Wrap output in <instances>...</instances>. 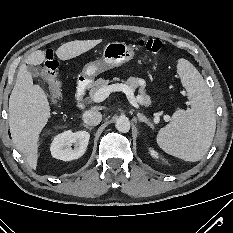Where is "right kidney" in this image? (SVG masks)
<instances>
[{"label": "right kidney", "mask_w": 233, "mask_h": 233, "mask_svg": "<svg viewBox=\"0 0 233 233\" xmlns=\"http://www.w3.org/2000/svg\"><path fill=\"white\" fill-rule=\"evenodd\" d=\"M89 139L90 134L86 131H65L54 137L50 147L51 155L63 161L78 159L85 153Z\"/></svg>", "instance_id": "1"}]
</instances>
